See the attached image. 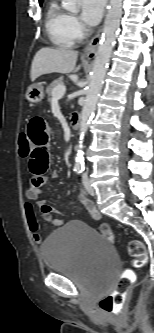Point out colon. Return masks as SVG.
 Wrapping results in <instances>:
<instances>
[{
	"label": "colon",
	"instance_id": "colon-1",
	"mask_svg": "<svg viewBox=\"0 0 154 333\" xmlns=\"http://www.w3.org/2000/svg\"><path fill=\"white\" fill-rule=\"evenodd\" d=\"M19 154L23 158L30 156L32 143L26 133H22L18 140ZM99 232L110 241H113L114 235L111 227L107 223H102L98 228ZM128 252L133 257V265L142 267L147 262V254L144 244L139 240H132L128 244ZM134 274L130 270L124 273L118 279L115 289L102 297L99 301V307L102 311L109 314H119L125 305L127 293L133 283Z\"/></svg>",
	"mask_w": 154,
	"mask_h": 333
}]
</instances>
